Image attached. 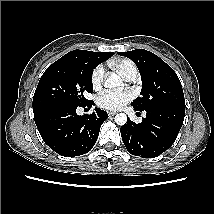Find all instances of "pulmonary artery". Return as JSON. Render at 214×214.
<instances>
[{
  "label": "pulmonary artery",
  "mask_w": 214,
  "mask_h": 214,
  "mask_svg": "<svg viewBox=\"0 0 214 214\" xmlns=\"http://www.w3.org/2000/svg\"><path fill=\"white\" fill-rule=\"evenodd\" d=\"M136 75H137V69H132L131 71L128 72L125 79L127 81H132L136 78Z\"/></svg>",
  "instance_id": "1"
}]
</instances>
